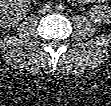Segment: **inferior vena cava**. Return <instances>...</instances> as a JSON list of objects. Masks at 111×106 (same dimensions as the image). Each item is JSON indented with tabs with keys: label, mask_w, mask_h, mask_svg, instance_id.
<instances>
[{
	"label": "inferior vena cava",
	"mask_w": 111,
	"mask_h": 106,
	"mask_svg": "<svg viewBox=\"0 0 111 106\" xmlns=\"http://www.w3.org/2000/svg\"><path fill=\"white\" fill-rule=\"evenodd\" d=\"M51 11H52L51 6L48 4H44L40 7L39 13L47 14V13H50Z\"/></svg>",
	"instance_id": "inferior-vena-cava-1"
}]
</instances>
